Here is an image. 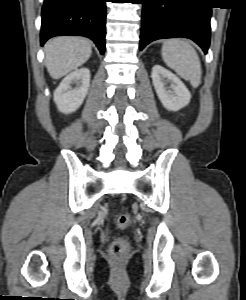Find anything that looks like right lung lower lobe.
<instances>
[{
  "label": "right lung lower lobe",
  "mask_w": 246,
  "mask_h": 300,
  "mask_svg": "<svg viewBox=\"0 0 246 300\" xmlns=\"http://www.w3.org/2000/svg\"><path fill=\"white\" fill-rule=\"evenodd\" d=\"M106 0H45L42 8L41 45L58 35L92 39L105 51Z\"/></svg>",
  "instance_id": "obj_1"
}]
</instances>
